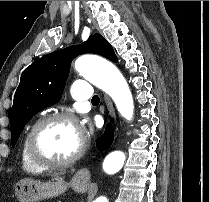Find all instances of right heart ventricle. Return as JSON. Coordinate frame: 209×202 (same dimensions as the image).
Wrapping results in <instances>:
<instances>
[{"instance_id":"e07e8e85","label":"right heart ventricle","mask_w":209,"mask_h":202,"mask_svg":"<svg viewBox=\"0 0 209 202\" xmlns=\"http://www.w3.org/2000/svg\"><path fill=\"white\" fill-rule=\"evenodd\" d=\"M31 129V128H30ZM30 129H28L22 138V142H21V151H20V159H21V164L22 167L25 171L30 172V173H40L43 171V169L37 167L36 165H34L30 159L28 158L27 152H26V142H27V137H28V133L30 131Z\"/></svg>"}]
</instances>
